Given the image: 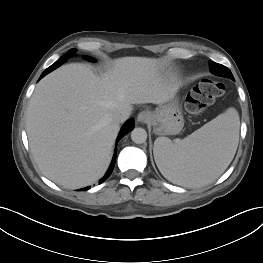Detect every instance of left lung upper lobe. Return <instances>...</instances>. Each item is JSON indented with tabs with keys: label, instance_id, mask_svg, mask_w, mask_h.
Instances as JSON below:
<instances>
[{
	"label": "left lung upper lobe",
	"instance_id": "left-lung-upper-lobe-1",
	"mask_svg": "<svg viewBox=\"0 0 263 263\" xmlns=\"http://www.w3.org/2000/svg\"><path fill=\"white\" fill-rule=\"evenodd\" d=\"M209 66L210 68L214 67L216 69V72H214V74L219 75V76H224V77L234 80L231 71L227 67L221 64L215 63V62H209Z\"/></svg>",
	"mask_w": 263,
	"mask_h": 263
}]
</instances>
